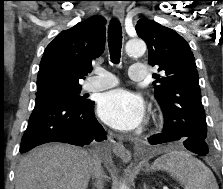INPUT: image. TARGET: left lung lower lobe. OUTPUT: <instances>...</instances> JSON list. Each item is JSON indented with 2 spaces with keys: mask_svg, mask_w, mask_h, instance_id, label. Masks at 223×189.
I'll return each instance as SVG.
<instances>
[{
  "mask_svg": "<svg viewBox=\"0 0 223 189\" xmlns=\"http://www.w3.org/2000/svg\"><path fill=\"white\" fill-rule=\"evenodd\" d=\"M182 141L184 146L191 152L204 156L208 153V145L206 141H200L195 138H186L181 140L176 136L166 135L164 133L151 136L148 141L150 145H162L172 141Z\"/></svg>",
  "mask_w": 223,
  "mask_h": 189,
  "instance_id": "0a47b994",
  "label": "left lung lower lobe"
}]
</instances>
